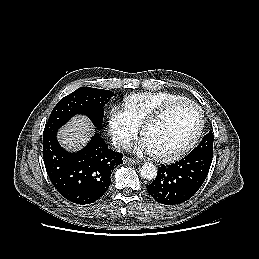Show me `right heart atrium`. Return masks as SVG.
<instances>
[{"label": "right heart atrium", "mask_w": 259, "mask_h": 259, "mask_svg": "<svg viewBox=\"0 0 259 259\" xmlns=\"http://www.w3.org/2000/svg\"><path fill=\"white\" fill-rule=\"evenodd\" d=\"M108 126L113 143L118 148L128 147L138 133V127L131 120L125 106L119 104L111 107Z\"/></svg>", "instance_id": "obj_1"}]
</instances>
